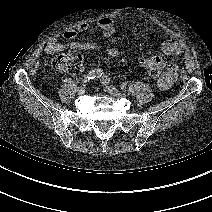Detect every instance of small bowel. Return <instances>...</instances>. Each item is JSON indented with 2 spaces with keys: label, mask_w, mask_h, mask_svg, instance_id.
Instances as JSON below:
<instances>
[{
  "label": "small bowel",
  "mask_w": 212,
  "mask_h": 212,
  "mask_svg": "<svg viewBox=\"0 0 212 212\" xmlns=\"http://www.w3.org/2000/svg\"><path fill=\"white\" fill-rule=\"evenodd\" d=\"M96 26L101 30L102 36L110 38L115 32V25L109 18H100L96 22ZM91 25L88 23H81L75 29L66 30L62 33V38L67 40L65 43H60L56 38H50L45 46V52L48 54H55L65 50H95L102 51L103 55L95 57V61H108L110 59H116L120 56L118 49L113 47H103L92 42L75 41V38L79 33L87 32L90 30ZM161 50L163 54L167 56L180 55L184 50V45L180 40H165L161 44ZM150 65H156L160 68L165 66V61L161 56H152L143 58L139 61V67L148 68ZM178 75V67L175 63H170L164 75L162 81H158V85L162 90H168Z\"/></svg>",
  "instance_id": "1"
}]
</instances>
